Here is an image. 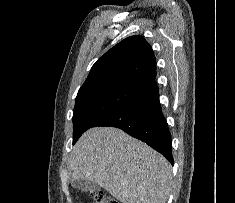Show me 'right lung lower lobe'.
Here are the masks:
<instances>
[{"label":"right lung lower lobe","mask_w":235,"mask_h":203,"mask_svg":"<svg viewBox=\"0 0 235 203\" xmlns=\"http://www.w3.org/2000/svg\"><path fill=\"white\" fill-rule=\"evenodd\" d=\"M122 129L161 153L172 165L171 134L159 102L157 84L100 119L93 127Z\"/></svg>","instance_id":"98d812e1"}]
</instances>
